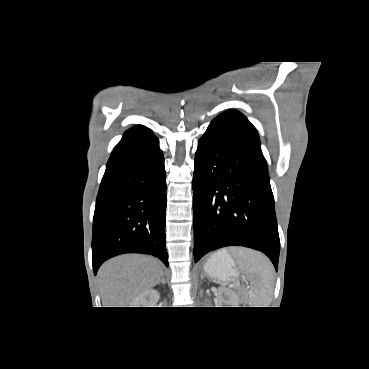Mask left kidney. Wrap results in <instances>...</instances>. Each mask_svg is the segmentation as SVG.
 I'll return each mask as SVG.
<instances>
[{"mask_svg": "<svg viewBox=\"0 0 369 369\" xmlns=\"http://www.w3.org/2000/svg\"><path fill=\"white\" fill-rule=\"evenodd\" d=\"M219 307H238V296L229 290L219 289L218 291Z\"/></svg>", "mask_w": 369, "mask_h": 369, "instance_id": "left-kidney-1", "label": "left kidney"}]
</instances>
